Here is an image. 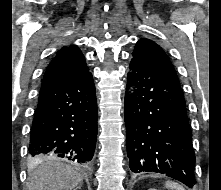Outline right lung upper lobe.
Here are the masks:
<instances>
[{
    "label": "right lung upper lobe",
    "instance_id": "cb5924a9",
    "mask_svg": "<svg viewBox=\"0 0 221 190\" xmlns=\"http://www.w3.org/2000/svg\"><path fill=\"white\" fill-rule=\"evenodd\" d=\"M89 73L85 58L75 45L63 47L48 65L40 92Z\"/></svg>",
    "mask_w": 221,
    "mask_h": 190
}]
</instances>
